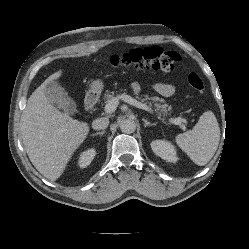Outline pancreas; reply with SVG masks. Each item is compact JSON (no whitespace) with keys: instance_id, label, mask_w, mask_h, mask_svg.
<instances>
[{"instance_id":"obj_1","label":"pancreas","mask_w":249,"mask_h":249,"mask_svg":"<svg viewBox=\"0 0 249 249\" xmlns=\"http://www.w3.org/2000/svg\"><path fill=\"white\" fill-rule=\"evenodd\" d=\"M115 92L114 91H106L104 95V99L106 102L110 101L112 98H114ZM143 100H149V104L154 107V110L158 113V116L161 115L167 116L168 113L171 111V106L165 103V100L159 97H151L149 98L146 96Z\"/></svg>"}]
</instances>
